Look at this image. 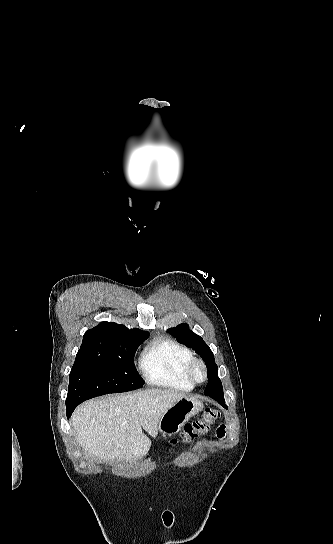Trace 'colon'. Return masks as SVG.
Segmentation results:
<instances>
[{"label":"colon","mask_w":333,"mask_h":544,"mask_svg":"<svg viewBox=\"0 0 333 544\" xmlns=\"http://www.w3.org/2000/svg\"><path fill=\"white\" fill-rule=\"evenodd\" d=\"M220 417V412L214 408H206L202 415L190 424H187L180 434L179 438L170 440L172 446L194 440L199 435L204 434L210 426Z\"/></svg>","instance_id":"colon-1"}]
</instances>
